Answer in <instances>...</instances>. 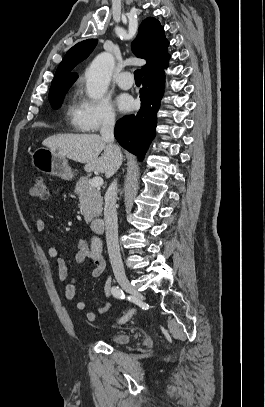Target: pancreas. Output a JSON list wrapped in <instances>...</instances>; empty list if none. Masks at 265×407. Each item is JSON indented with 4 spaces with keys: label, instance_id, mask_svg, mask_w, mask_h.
<instances>
[{
    "label": "pancreas",
    "instance_id": "pancreas-1",
    "mask_svg": "<svg viewBox=\"0 0 265 407\" xmlns=\"http://www.w3.org/2000/svg\"><path fill=\"white\" fill-rule=\"evenodd\" d=\"M75 193L79 195V208L86 221L101 215L103 198L99 187H92L87 177H81L76 183Z\"/></svg>",
    "mask_w": 265,
    "mask_h": 407
}]
</instances>
